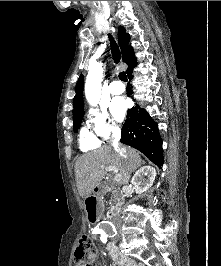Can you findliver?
Here are the masks:
<instances>
[{
	"label": "liver",
	"instance_id": "6515ba94",
	"mask_svg": "<svg viewBox=\"0 0 221 266\" xmlns=\"http://www.w3.org/2000/svg\"><path fill=\"white\" fill-rule=\"evenodd\" d=\"M126 149V158L120 156L111 146L102 147L79 157L75 163V180L79 195L87 198L89 189H94L104 179L107 171L102 167L113 166L121 175L120 184L129 183L130 174L144 161L132 148Z\"/></svg>",
	"mask_w": 221,
	"mask_h": 266
}]
</instances>
